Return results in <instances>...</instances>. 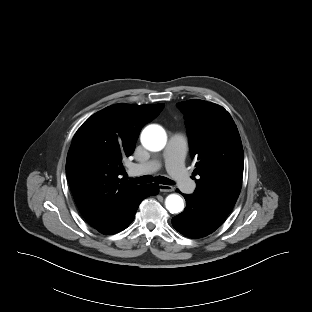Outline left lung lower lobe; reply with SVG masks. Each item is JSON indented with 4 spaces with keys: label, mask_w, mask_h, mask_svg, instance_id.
I'll return each instance as SVG.
<instances>
[{
    "label": "left lung lower lobe",
    "mask_w": 312,
    "mask_h": 312,
    "mask_svg": "<svg viewBox=\"0 0 312 312\" xmlns=\"http://www.w3.org/2000/svg\"><path fill=\"white\" fill-rule=\"evenodd\" d=\"M185 211L172 218L173 227L190 238H201L214 232L227 217L226 214L196 200L192 195H184Z\"/></svg>",
    "instance_id": "left-lung-lower-lobe-1"
}]
</instances>
